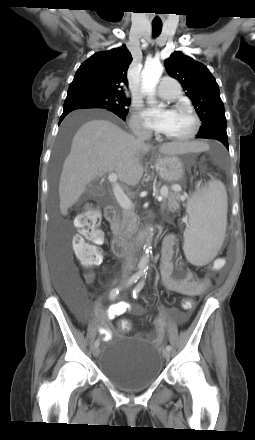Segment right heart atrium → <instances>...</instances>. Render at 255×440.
<instances>
[{
  "label": "right heart atrium",
  "mask_w": 255,
  "mask_h": 440,
  "mask_svg": "<svg viewBox=\"0 0 255 440\" xmlns=\"http://www.w3.org/2000/svg\"><path fill=\"white\" fill-rule=\"evenodd\" d=\"M129 125H130L131 131L134 133H137V134L148 133V127H147L141 113L139 112L138 105L134 106V111L130 117Z\"/></svg>",
  "instance_id": "right-heart-atrium-1"
}]
</instances>
